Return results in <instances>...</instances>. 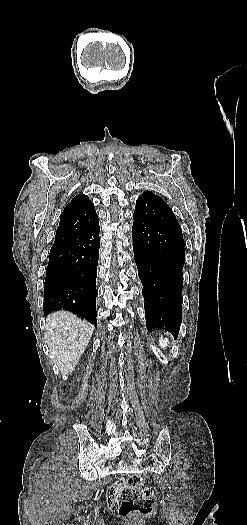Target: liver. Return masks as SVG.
Here are the masks:
<instances>
[{"instance_id":"6515ba94","label":"liver","mask_w":247,"mask_h":525,"mask_svg":"<svg viewBox=\"0 0 247 525\" xmlns=\"http://www.w3.org/2000/svg\"><path fill=\"white\" fill-rule=\"evenodd\" d=\"M93 331V325L69 311H56L46 317L44 339L55 375L68 379L89 345Z\"/></svg>"}]
</instances>
